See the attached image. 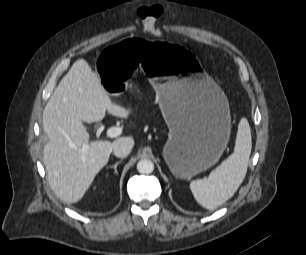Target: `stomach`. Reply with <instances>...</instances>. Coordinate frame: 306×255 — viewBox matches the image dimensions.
<instances>
[{"label":"stomach","mask_w":306,"mask_h":255,"mask_svg":"<svg viewBox=\"0 0 306 255\" xmlns=\"http://www.w3.org/2000/svg\"><path fill=\"white\" fill-rule=\"evenodd\" d=\"M96 63L111 96L123 94L128 75L145 65L170 131L163 156L177 178L190 179L217 162L230 136L228 100L189 52L176 43L129 38L106 47Z\"/></svg>","instance_id":"obj_1"}]
</instances>
